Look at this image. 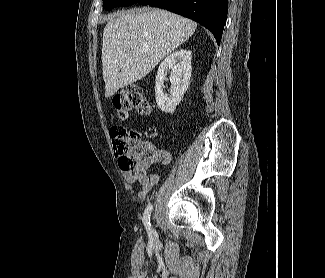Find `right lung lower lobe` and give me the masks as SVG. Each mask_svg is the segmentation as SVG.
<instances>
[{
    "label": "right lung lower lobe",
    "mask_w": 325,
    "mask_h": 278,
    "mask_svg": "<svg viewBox=\"0 0 325 278\" xmlns=\"http://www.w3.org/2000/svg\"><path fill=\"white\" fill-rule=\"evenodd\" d=\"M136 3L188 17L209 29L218 44L221 41L227 17V0H138Z\"/></svg>",
    "instance_id": "98d812e1"
}]
</instances>
